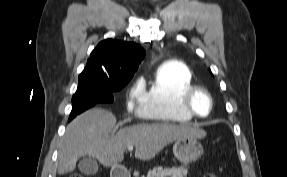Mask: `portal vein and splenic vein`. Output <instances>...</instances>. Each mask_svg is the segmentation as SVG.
<instances>
[{
    "mask_svg": "<svg viewBox=\"0 0 287 177\" xmlns=\"http://www.w3.org/2000/svg\"><path fill=\"white\" fill-rule=\"evenodd\" d=\"M127 148H128L129 151L133 150V146H128Z\"/></svg>",
    "mask_w": 287,
    "mask_h": 177,
    "instance_id": "portal-vein-and-splenic-vein-1",
    "label": "portal vein and splenic vein"
}]
</instances>
